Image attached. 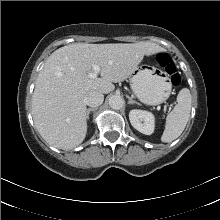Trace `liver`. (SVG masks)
<instances>
[{"label": "liver", "mask_w": 220, "mask_h": 220, "mask_svg": "<svg viewBox=\"0 0 220 220\" xmlns=\"http://www.w3.org/2000/svg\"><path fill=\"white\" fill-rule=\"evenodd\" d=\"M163 51L151 42L74 43L54 51L39 72L32 96V116L42 138L63 150L81 144L87 133V92L110 93L113 83L131 76L145 55ZM94 65L100 67V78L88 77Z\"/></svg>", "instance_id": "obj_1"}]
</instances>
